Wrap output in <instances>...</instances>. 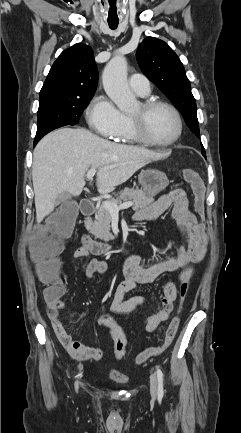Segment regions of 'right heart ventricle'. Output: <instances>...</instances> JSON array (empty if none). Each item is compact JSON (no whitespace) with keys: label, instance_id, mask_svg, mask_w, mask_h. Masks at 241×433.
Here are the masks:
<instances>
[{"label":"right heart ventricle","instance_id":"obj_1","mask_svg":"<svg viewBox=\"0 0 241 433\" xmlns=\"http://www.w3.org/2000/svg\"><path fill=\"white\" fill-rule=\"evenodd\" d=\"M123 116H124L123 125L120 131L115 136L112 137L113 140L117 142L130 143V144L138 143L139 140L137 139V137L135 136L132 130L129 115L123 114Z\"/></svg>","mask_w":241,"mask_h":433}]
</instances>
